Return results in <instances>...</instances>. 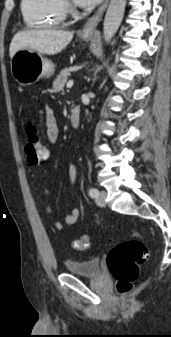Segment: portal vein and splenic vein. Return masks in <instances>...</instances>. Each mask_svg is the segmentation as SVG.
I'll return each instance as SVG.
<instances>
[{
  "label": "portal vein and splenic vein",
  "instance_id": "1",
  "mask_svg": "<svg viewBox=\"0 0 171 337\" xmlns=\"http://www.w3.org/2000/svg\"><path fill=\"white\" fill-rule=\"evenodd\" d=\"M73 86V80H69L68 83L66 84L67 88H71Z\"/></svg>",
  "mask_w": 171,
  "mask_h": 337
}]
</instances>
